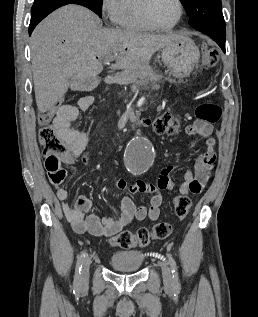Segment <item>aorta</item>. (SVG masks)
<instances>
[{
  "mask_svg": "<svg viewBox=\"0 0 258 317\" xmlns=\"http://www.w3.org/2000/svg\"><path fill=\"white\" fill-rule=\"evenodd\" d=\"M154 153L151 142L145 137L134 138L128 145L125 165L134 175L146 172L152 165Z\"/></svg>",
  "mask_w": 258,
  "mask_h": 317,
  "instance_id": "obj_1",
  "label": "aorta"
}]
</instances>
